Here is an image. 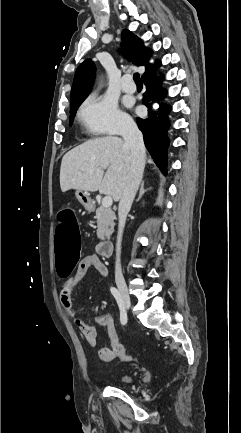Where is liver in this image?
Instances as JSON below:
<instances>
[{"label": "liver", "instance_id": "obj_1", "mask_svg": "<svg viewBox=\"0 0 241 433\" xmlns=\"http://www.w3.org/2000/svg\"><path fill=\"white\" fill-rule=\"evenodd\" d=\"M130 168L131 152L121 138H96L63 156L60 167L61 191H99L118 201L126 186Z\"/></svg>", "mask_w": 241, "mask_h": 433}]
</instances>
